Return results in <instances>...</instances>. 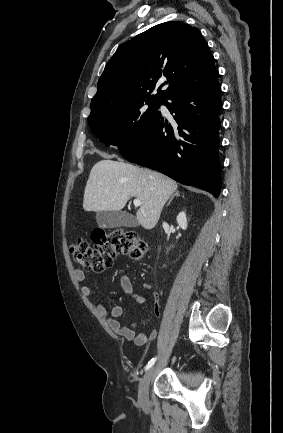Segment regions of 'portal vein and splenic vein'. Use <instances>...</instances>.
<instances>
[{"mask_svg": "<svg viewBox=\"0 0 283 433\" xmlns=\"http://www.w3.org/2000/svg\"><path fill=\"white\" fill-rule=\"evenodd\" d=\"M133 204H134V206H140V204H142V202H141V200H139V198H134Z\"/></svg>", "mask_w": 283, "mask_h": 433, "instance_id": "portal-vein-and-splenic-vein-1", "label": "portal vein and splenic vein"}]
</instances>
